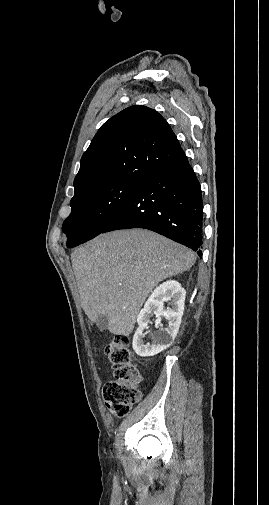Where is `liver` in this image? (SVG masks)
Segmentation results:
<instances>
[{"instance_id": "liver-1", "label": "liver", "mask_w": 269, "mask_h": 505, "mask_svg": "<svg viewBox=\"0 0 269 505\" xmlns=\"http://www.w3.org/2000/svg\"><path fill=\"white\" fill-rule=\"evenodd\" d=\"M81 306L91 322L106 316L114 335L132 333L150 292L168 277L190 269L187 247L144 229L101 234L71 254Z\"/></svg>"}]
</instances>
